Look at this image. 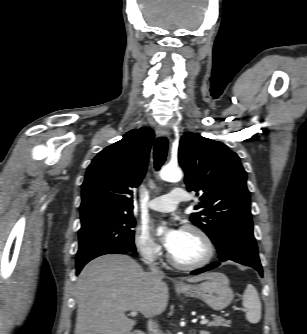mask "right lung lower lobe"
<instances>
[{
    "label": "right lung lower lobe",
    "instance_id": "obj_1",
    "mask_svg": "<svg viewBox=\"0 0 307 334\" xmlns=\"http://www.w3.org/2000/svg\"><path fill=\"white\" fill-rule=\"evenodd\" d=\"M132 251H135V249L131 250L130 252ZM130 252H124V251H114V252H111V253H118V254H126V253H130ZM106 254H109V253H106ZM86 264V263H85ZM81 265V266H77V270H76V275L79 274V272L81 271V269L83 268V266L85 265Z\"/></svg>",
    "mask_w": 307,
    "mask_h": 334
}]
</instances>
